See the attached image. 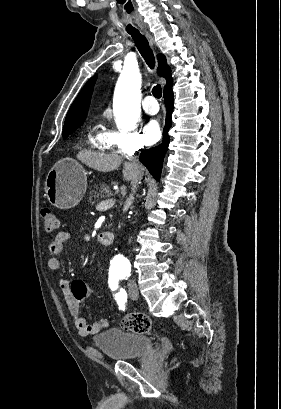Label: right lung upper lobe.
<instances>
[{
  "mask_svg": "<svg viewBox=\"0 0 281 409\" xmlns=\"http://www.w3.org/2000/svg\"><path fill=\"white\" fill-rule=\"evenodd\" d=\"M157 59H158L157 73L159 76H162L166 79V85L163 91V93H166V91L172 88L171 70L166 64V58L164 55L159 54L157 56ZM95 80L96 76L91 78L83 87L81 92L78 94L77 98L75 99L67 113L64 126L82 125L86 118V113L89 107Z\"/></svg>",
  "mask_w": 281,
  "mask_h": 409,
  "instance_id": "obj_1",
  "label": "right lung upper lobe"
}]
</instances>
